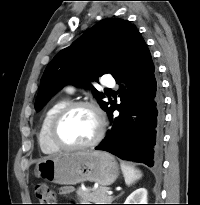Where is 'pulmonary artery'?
Here are the masks:
<instances>
[{"instance_id": "1", "label": "pulmonary artery", "mask_w": 200, "mask_h": 205, "mask_svg": "<svg viewBox=\"0 0 200 205\" xmlns=\"http://www.w3.org/2000/svg\"><path fill=\"white\" fill-rule=\"evenodd\" d=\"M104 85L107 86V87H113V86H115V81L113 79H106L104 81ZM67 91L72 92L73 88L72 87H68Z\"/></svg>"}]
</instances>
